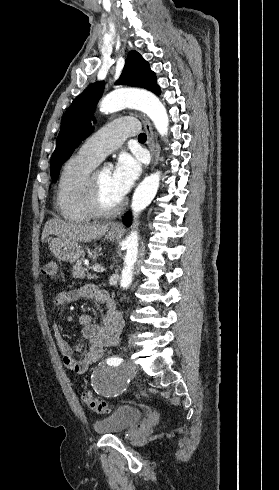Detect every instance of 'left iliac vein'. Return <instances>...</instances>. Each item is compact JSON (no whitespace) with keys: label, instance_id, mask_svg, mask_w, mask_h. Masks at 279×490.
Wrapping results in <instances>:
<instances>
[{"label":"left iliac vein","instance_id":"1","mask_svg":"<svg viewBox=\"0 0 279 490\" xmlns=\"http://www.w3.org/2000/svg\"><path fill=\"white\" fill-rule=\"evenodd\" d=\"M125 368L127 369L129 375L134 376L137 373L135 360L130 358L127 363H125Z\"/></svg>","mask_w":279,"mask_h":490}]
</instances>
